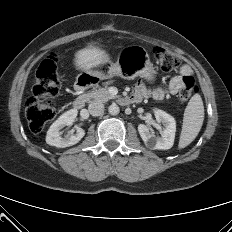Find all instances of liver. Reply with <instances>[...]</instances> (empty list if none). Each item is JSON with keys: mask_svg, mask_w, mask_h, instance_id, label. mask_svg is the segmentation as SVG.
<instances>
[{"mask_svg": "<svg viewBox=\"0 0 232 232\" xmlns=\"http://www.w3.org/2000/svg\"><path fill=\"white\" fill-rule=\"evenodd\" d=\"M109 61L106 52L98 47L89 45L75 53L74 64L77 69L85 70Z\"/></svg>", "mask_w": 232, "mask_h": 232, "instance_id": "6515ba94", "label": "liver"}]
</instances>
